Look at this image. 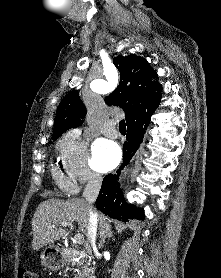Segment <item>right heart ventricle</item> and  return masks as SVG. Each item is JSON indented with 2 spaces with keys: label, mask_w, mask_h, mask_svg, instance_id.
Instances as JSON below:
<instances>
[{
  "label": "right heart ventricle",
  "mask_w": 221,
  "mask_h": 278,
  "mask_svg": "<svg viewBox=\"0 0 221 278\" xmlns=\"http://www.w3.org/2000/svg\"><path fill=\"white\" fill-rule=\"evenodd\" d=\"M54 177L60 187L64 189H74L75 184L72 178L66 173L62 172L59 166L53 169Z\"/></svg>",
  "instance_id": "1"
}]
</instances>
